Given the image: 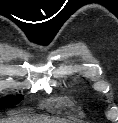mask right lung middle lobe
Returning <instances> with one entry per match:
<instances>
[{"label": "right lung middle lobe", "instance_id": "obj_1", "mask_svg": "<svg viewBox=\"0 0 118 123\" xmlns=\"http://www.w3.org/2000/svg\"><path fill=\"white\" fill-rule=\"evenodd\" d=\"M23 99V96H8L0 99V110L18 104Z\"/></svg>", "mask_w": 118, "mask_h": 123}]
</instances>
